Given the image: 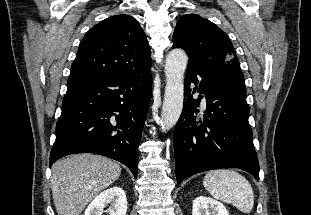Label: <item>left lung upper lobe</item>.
I'll return each instance as SVG.
<instances>
[{
  "label": "left lung upper lobe",
  "instance_id": "obj_1",
  "mask_svg": "<svg viewBox=\"0 0 311 215\" xmlns=\"http://www.w3.org/2000/svg\"><path fill=\"white\" fill-rule=\"evenodd\" d=\"M173 48H182L193 62L225 86L246 93L235 49L226 33L195 14L182 16L173 35Z\"/></svg>",
  "mask_w": 311,
  "mask_h": 215
}]
</instances>
